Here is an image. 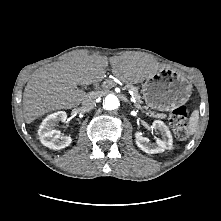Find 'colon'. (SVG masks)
Returning a JSON list of instances; mask_svg holds the SVG:
<instances>
[{"mask_svg": "<svg viewBox=\"0 0 221 221\" xmlns=\"http://www.w3.org/2000/svg\"><path fill=\"white\" fill-rule=\"evenodd\" d=\"M188 114L189 109L186 106L177 107L170 113L169 121L174 135L179 140H184L188 137Z\"/></svg>", "mask_w": 221, "mask_h": 221, "instance_id": "obj_1", "label": "colon"}]
</instances>
